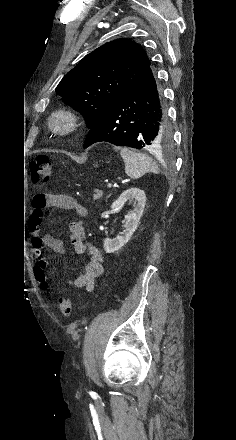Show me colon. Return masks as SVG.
<instances>
[{
  "label": "colon",
  "mask_w": 236,
  "mask_h": 440,
  "mask_svg": "<svg viewBox=\"0 0 236 440\" xmlns=\"http://www.w3.org/2000/svg\"><path fill=\"white\" fill-rule=\"evenodd\" d=\"M52 174V163L48 156L40 155L32 163L31 167V179L34 184L46 185ZM42 290L46 292L49 296H52V292L49 290L48 285L45 284ZM57 308L59 312L63 315L71 314V302L67 297H61L58 300Z\"/></svg>",
  "instance_id": "colon-1"
}]
</instances>
